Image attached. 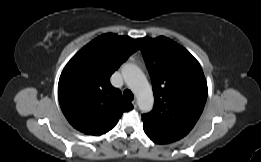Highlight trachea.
Here are the masks:
<instances>
[{"label":"trachea","mask_w":261,"mask_h":162,"mask_svg":"<svg viewBox=\"0 0 261 162\" xmlns=\"http://www.w3.org/2000/svg\"><path fill=\"white\" fill-rule=\"evenodd\" d=\"M123 97H124V100H126L128 102H131L134 99V95L129 89L124 90Z\"/></svg>","instance_id":"trachea-1"}]
</instances>
